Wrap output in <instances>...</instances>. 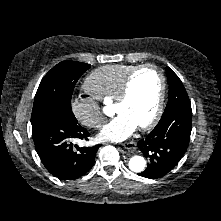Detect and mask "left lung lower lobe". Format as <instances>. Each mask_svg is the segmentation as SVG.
Returning a JSON list of instances; mask_svg holds the SVG:
<instances>
[{
  "label": "left lung lower lobe",
  "mask_w": 221,
  "mask_h": 221,
  "mask_svg": "<svg viewBox=\"0 0 221 221\" xmlns=\"http://www.w3.org/2000/svg\"><path fill=\"white\" fill-rule=\"evenodd\" d=\"M192 130V110L182 108L163 115L157 126L138 142V148L148 160L139 176L156 179L170 172L189 145Z\"/></svg>",
  "instance_id": "1"
}]
</instances>
